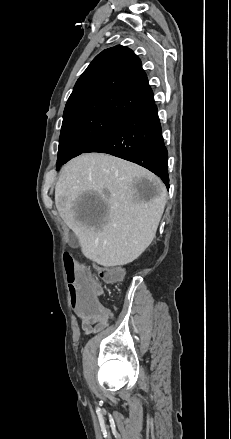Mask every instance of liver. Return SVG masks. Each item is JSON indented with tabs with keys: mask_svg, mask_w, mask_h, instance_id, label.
I'll return each instance as SVG.
<instances>
[{
	"mask_svg": "<svg viewBox=\"0 0 231 439\" xmlns=\"http://www.w3.org/2000/svg\"><path fill=\"white\" fill-rule=\"evenodd\" d=\"M146 179L153 190L144 195ZM97 198L104 212H83V196ZM163 182L149 170L103 154H82L62 169L55 187V205L75 233L83 255L105 267L137 259L151 244L166 204Z\"/></svg>",
	"mask_w": 231,
	"mask_h": 439,
	"instance_id": "1",
	"label": "liver"
}]
</instances>
